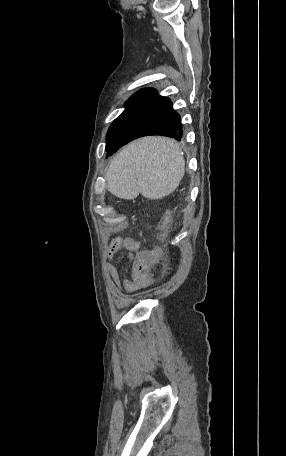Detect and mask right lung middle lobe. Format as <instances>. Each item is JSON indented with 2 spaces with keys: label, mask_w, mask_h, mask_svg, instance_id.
Masks as SVG:
<instances>
[{
  "label": "right lung middle lobe",
  "mask_w": 286,
  "mask_h": 456,
  "mask_svg": "<svg viewBox=\"0 0 286 456\" xmlns=\"http://www.w3.org/2000/svg\"><path fill=\"white\" fill-rule=\"evenodd\" d=\"M128 131L125 127L122 114L114 120L111 124L106 135V147L108 152L107 156L112 155L120 146V144L127 138Z\"/></svg>",
  "instance_id": "dd1d6c3e"
}]
</instances>
